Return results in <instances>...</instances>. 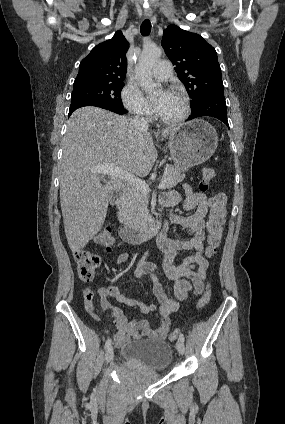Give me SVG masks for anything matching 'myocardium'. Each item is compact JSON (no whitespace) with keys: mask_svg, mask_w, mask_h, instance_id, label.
<instances>
[{"mask_svg":"<svg viewBox=\"0 0 285 424\" xmlns=\"http://www.w3.org/2000/svg\"><path fill=\"white\" fill-rule=\"evenodd\" d=\"M170 93L176 94L183 99L184 105H185V109H184L183 114L181 116H179L178 118H175V119H165V118L161 117L156 110L155 116H156V119L159 122H161L162 124L169 125V126H176V125L183 123L184 121H186L189 118V116L191 114V101H190V98L187 95V93H185L184 91H182L180 89H177V88L171 89Z\"/></svg>","mask_w":285,"mask_h":424,"instance_id":"1","label":"myocardium"}]
</instances>
